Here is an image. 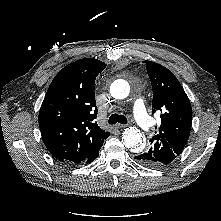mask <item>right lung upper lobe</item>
Instances as JSON below:
<instances>
[{"label": "right lung upper lobe", "instance_id": "1", "mask_svg": "<svg viewBox=\"0 0 221 221\" xmlns=\"http://www.w3.org/2000/svg\"><path fill=\"white\" fill-rule=\"evenodd\" d=\"M106 64L85 58L64 67L51 82L39 111L45 146L58 160L82 164L98 152L109 132L97 122L94 83Z\"/></svg>", "mask_w": 221, "mask_h": 221}]
</instances>
